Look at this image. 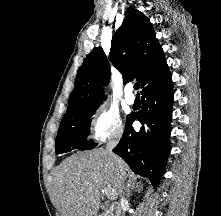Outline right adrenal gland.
<instances>
[{
  "instance_id": "2a0ac1e0",
  "label": "right adrenal gland",
  "mask_w": 221,
  "mask_h": 216,
  "mask_svg": "<svg viewBox=\"0 0 221 216\" xmlns=\"http://www.w3.org/2000/svg\"><path fill=\"white\" fill-rule=\"evenodd\" d=\"M143 190V185H141L140 183H137L136 186H132L130 189L127 190V198L132 196V192L133 191H138L141 192Z\"/></svg>"
}]
</instances>
